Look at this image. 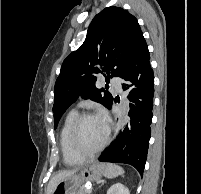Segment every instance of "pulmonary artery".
Segmentation results:
<instances>
[{
	"mask_svg": "<svg viewBox=\"0 0 201 194\" xmlns=\"http://www.w3.org/2000/svg\"><path fill=\"white\" fill-rule=\"evenodd\" d=\"M111 84L112 86L115 88V90L117 92H121L122 91V81L119 77H113L111 79Z\"/></svg>",
	"mask_w": 201,
	"mask_h": 194,
	"instance_id": "1",
	"label": "pulmonary artery"
}]
</instances>
